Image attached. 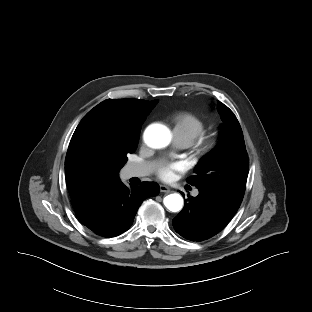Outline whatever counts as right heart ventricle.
Instances as JSON below:
<instances>
[{
    "instance_id": "e07e8e85",
    "label": "right heart ventricle",
    "mask_w": 312,
    "mask_h": 312,
    "mask_svg": "<svg viewBox=\"0 0 312 312\" xmlns=\"http://www.w3.org/2000/svg\"><path fill=\"white\" fill-rule=\"evenodd\" d=\"M205 131V122L193 113L183 112L174 117V136L186 140L189 145Z\"/></svg>"
}]
</instances>
